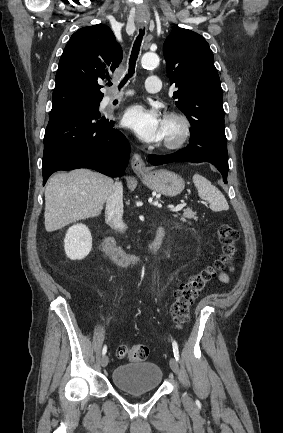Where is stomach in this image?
Wrapping results in <instances>:
<instances>
[{
    "mask_svg": "<svg viewBox=\"0 0 283 433\" xmlns=\"http://www.w3.org/2000/svg\"><path fill=\"white\" fill-rule=\"evenodd\" d=\"M137 174L141 176L142 182L156 192L166 194V196H176L182 192L185 182L179 174L160 168V170H151V172H142L137 170Z\"/></svg>",
    "mask_w": 283,
    "mask_h": 433,
    "instance_id": "obj_1",
    "label": "stomach"
}]
</instances>
